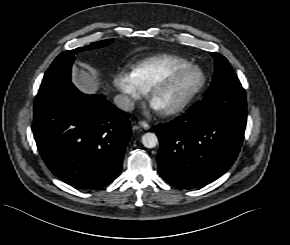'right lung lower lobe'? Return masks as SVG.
Returning a JSON list of instances; mask_svg holds the SVG:
<instances>
[{
    "instance_id": "obj_1",
    "label": "right lung lower lobe",
    "mask_w": 290,
    "mask_h": 245,
    "mask_svg": "<svg viewBox=\"0 0 290 245\" xmlns=\"http://www.w3.org/2000/svg\"><path fill=\"white\" fill-rule=\"evenodd\" d=\"M128 118L103 96L69 83L37 94L32 130L54 175L77 188L99 189L120 174L131 136Z\"/></svg>"
}]
</instances>
